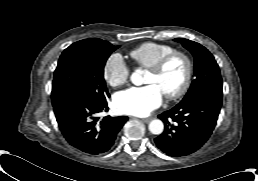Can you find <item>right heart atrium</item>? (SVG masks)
Segmentation results:
<instances>
[{
	"label": "right heart atrium",
	"mask_w": 258,
	"mask_h": 181,
	"mask_svg": "<svg viewBox=\"0 0 258 181\" xmlns=\"http://www.w3.org/2000/svg\"><path fill=\"white\" fill-rule=\"evenodd\" d=\"M103 74L110 86L118 87L126 83L130 75V69L121 55L112 54L105 62Z\"/></svg>",
	"instance_id": "d8ad5b80"
}]
</instances>
